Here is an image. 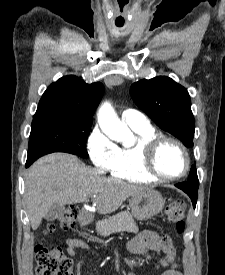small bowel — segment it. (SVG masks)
Masks as SVG:
<instances>
[{
    "label": "small bowel",
    "mask_w": 225,
    "mask_h": 275,
    "mask_svg": "<svg viewBox=\"0 0 225 275\" xmlns=\"http://www.w3.org/2000/svg\"><path fill=\"white\" fill-rule=\"evenodd\" d=\"M89 250L88 244L78 238H69L67 240L66 252L71 257H76L78 250ZM129 250L133 254L141 255L148 251L160 252L164 250L161 237L154 231H143L138 234L129 243ZM82 268V263L79 266V270ZM129 275H135L133 273ZM161 275H183L179 271L177 264L171 263L168 268Z\"/></svg>",
    "instance_id": "1"
}]
</instances>
